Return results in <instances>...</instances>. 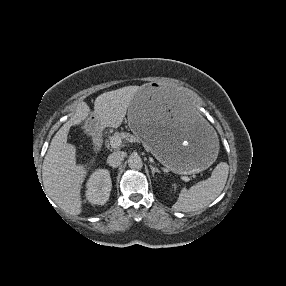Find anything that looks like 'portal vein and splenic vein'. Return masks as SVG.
<instances>
[{
	"mask_svg": "<svg viewBox=\"0 0 286 286\" xmlns=\"http://www.w3.org/2000/svg\"><path fill=\"white\" fill-rule=\"evenodd\" d=\"M122 143V140L119 137H113L110 141V145L112 148H118ZM184 181L189 182L191 180L188 176L181 177Z\"/></svg>",
	"mask_w": 286,
	"mask_h": 286,
	"instance_id": "obj_1",
	"label": "portal vein and splenic vein"
}]
</instances>
